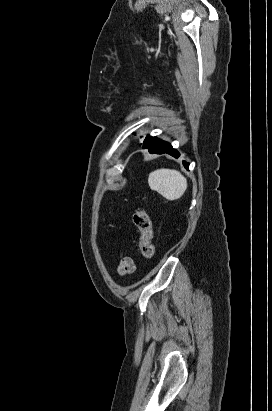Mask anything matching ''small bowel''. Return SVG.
I'll list each match as a JSON object with an SVG mask.
<instances>
[{"label": "small bowel", "instance_id": "small-bowel-1", "mask_svg": "<svg viewBox=\"0 0 272 411\" xmlns=\"http://www.w3.org/2000/svg\"><path fill=\"white\" fill-rule=\"evenodd\" d=\"M135 263L130 257H124L119 264L118 272L120 275H125L134 272Z\"/></svg>", "mask_w": 272, "mask_h": 411}]
</instances>
